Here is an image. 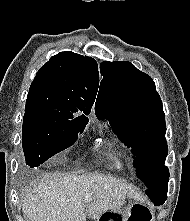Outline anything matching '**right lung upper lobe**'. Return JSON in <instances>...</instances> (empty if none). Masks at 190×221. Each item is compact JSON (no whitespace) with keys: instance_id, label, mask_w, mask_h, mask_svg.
Here are the masks:
<instances>
[{"instance_id":"obj_1","label":"right lung upper lobe","mask_w":190,"mask_h":221,"mask_svg":"<svg viewBox=\"0 0 190 221\" xmlns=\"http://www.w3.org/2000/svg\"><path fill=\"white\" fill-rule=\"evenodd\" d=\"M98 86V65L93 58L60 52L37 72L29 89L25 111L87 118Z\"/></svg>"}]
</instances>
